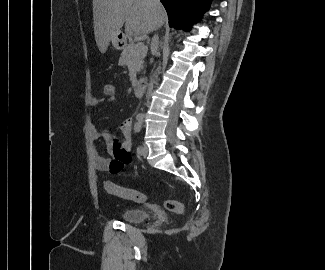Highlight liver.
<instances>
[{
    "mask_svg": "<svg viewBox=\"0 0 325 270\" xmlns=\"http://www.w3.org/2000/svg\"><path fill=\"white\" fill-rule=\"evenodd\" d=\"M93 20L97 46L105 53L124 23L126 37L147 34L164 24L166 13L150 0H93Z\"/></svg>",
    "mask_w": 325,
    "mask_h": 270,
    "instance_id": "1",
    "label": "liver"
}]
</instances>
